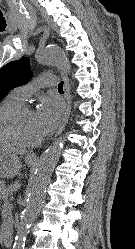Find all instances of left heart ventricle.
<instances>
[{"label": "left heart ventricle", "mask_w": 135, "mask_h": 249, "mask_svg": "<svg viewBox=\"0 0 135 249\" xmlns=\"http://www.w3.org/2000/svg\"><path fill=\"white\" fill-rule=\"evenodd\" d=\"M16 126L21 136L27 140H36L41 137L33 110L20 115Z\"/></svg>", "instance_id": "left-heart-ventricle-1"}]
</instances>
